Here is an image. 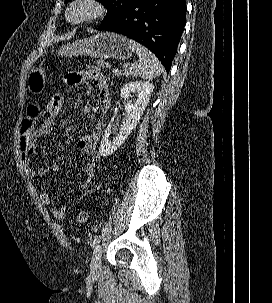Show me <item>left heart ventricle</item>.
<instances>
[{
    "instance_id": "obj_1",
    "label": "left heart ventricle",
    "mask_w": 272,
    "mask_h": 303,
    "mask_svg": "<svg viewBox=\"0 0 272 303\" xmlns=\"http://www.w3.org/2000/svg\"><path fill=\"white\" fill-rule=\"evenodd\" d=\"M86 12V9L83 7H79L74 11V16L79 17Z\"/></svg>"
}]
</instances>
